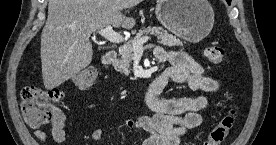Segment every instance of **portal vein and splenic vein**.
<instances>
[{
  "mask_svg": "<svg viewBox=\"0 0 276 145\" xmlns=\"http://www.w3.org/2000/svg\"><path fill=\"white\" fill-rule=\"evenodd\" d=\"M98 33L112 43H121L124 37L115 32L111 25L106 26L98 31ZM149 40L148 36L142 37L139 41L133 43L132 47L134 51H139L143 49V44Z\"/></svg>",
  "mask_w": 276,
  "mask_h": 145,
  "instance_id": "portal-vein-and-splenic-vein-1",
  "label": "portal vein and splenic vein"
}]
</instances>
